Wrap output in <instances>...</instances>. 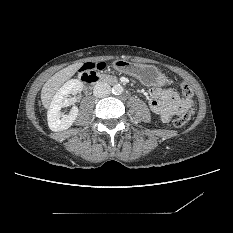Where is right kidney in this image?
I'll return each instance as SVG.
<instances>
[{
    "label": "right kidney",
    "instance_id": "ca27d5eb",
    "mask_svg": "<svg viewBox=\"0 0 233 233\" xmlns=\"http://www.w3.org/2000/svg\"><path fill=\"white\" fill-rule=\"evenodd\" d=\"M83 85L77 79L67 81L54 95L47 113V121L50 130L63 131L72 126L78 115V108L73 106L68 115H63L61 109L70 104L69 94H77L82 91Z\"/></svg>",
    "mask_w": 233,
    "mask_h": 233
}]
</instances>
